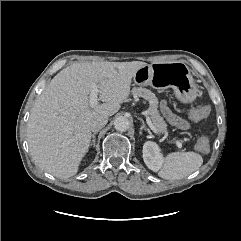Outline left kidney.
<instances>
[{
    "mask_svg": "<svg viewBox=\"0 0 241 241\" xmlns=\"http://www.w3.org/2000/svg\"><path fill=\"white\" fill-rule=\"evenodd\" d=\"M143 160L146 166L157 172L163 164V156L159 146L155 142L147 141L143 145Z\"/></svg>",
    "mask_w": 241,
    "mask_h": 241,
    "instance_id": "5707ae66",
    "label": "left kidney"
}]
</instances>
